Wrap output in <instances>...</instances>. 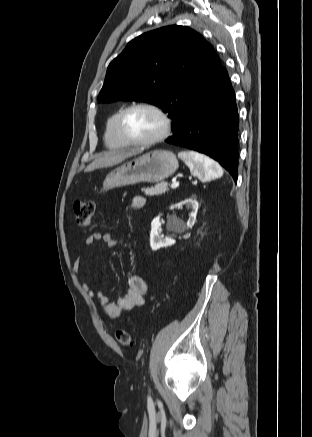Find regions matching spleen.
<instances>
[{
  "instance_id": "obj_1",
  "label": "spleen",
  "mask_w": 312,
  "mask_h": 437,
  "mask_svg": "<svg viewBox=\"0 0 312 437\" xmlns=\"http://www.w3.org/2000/svg\"><path fill=\"white\" fill-rule=\"evenodd\" d=\"M178 156L189 167L190 172L201 181H209L223 175L221 166L211 158L195 151H183Z\"/></svg>"
}]
</instances>
